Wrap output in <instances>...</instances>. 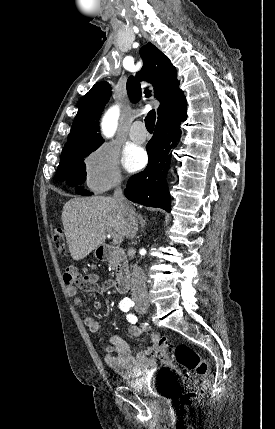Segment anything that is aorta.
<instances>
[{"mask_svg": "<svg viewBox=\"0 0 275 429\" xmlns=\"http://www.w3.org/2000/svg\"><path fill=\"white\" fill-rule=\"evenodd\" d=\"M117 110L115 108L110 109L103 118L102 127L103 131L107 136H111L117 126Z\"/></svg>", "mask_w": 275, "mask_h": 429, "instance_id": "762f6f07", "label": "aorta"}]
</instances>
